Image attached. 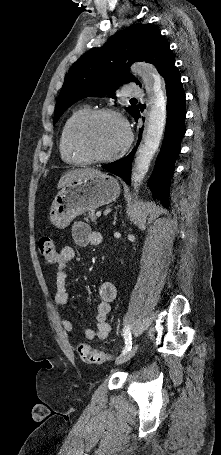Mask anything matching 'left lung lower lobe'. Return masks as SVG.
<instances>
[{
	"label": "left lung lower lobe",
	"instance_id": "0a47b994",
	"mask_svg": "<svg viewBox=\"0 0 221 455\" xmlns=\"http://www.w3.org/2000/svg\"><path fill=\"white\" fill-rule=\"evenodd\" d=\"M163 78L166 84L167 92V120L165 128V137L162 143L160 153L157 157L155 168L149 179V187L155 198L161 200L167 208L169 206L170 181L174 173L175 160L180 153V142L185 134V93L181 83V75L175 65L168 69ZM140 116V110L133 116L137 121ZM142 130H139V140L141 139ZM136 149L124 159L114 161L103 165L102 167L109 172L120 176L127 184H130V172L132 159Z\"/></svg>",
	"mask_w": 221,
	"mask_h": 455
}]
</instances>
